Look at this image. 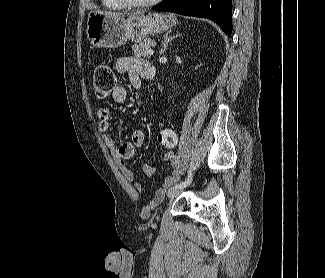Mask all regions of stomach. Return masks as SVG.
I'll use <instances>...</instances> for the list:
<instances>
[{
  "instance_id": "stomach-1",
  "label": "stomach",
  "mask_w": 325,
  "mask_h": 278,
  "mask_svg": "<svg viewBox=\"0 0 325 278\" xmlns=\"http://www.w3.org/2000/svg\"><path fill=\"white\" fill-rule=\"evenodd\" d=\"M177 23L172 15L148 13L127 19L93 11L87 20V37L96 48H116L127 41H141L148 35L162 33Z\"/></svg>"
}]
</instances>
